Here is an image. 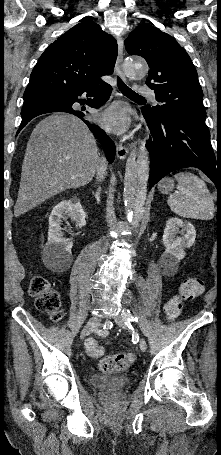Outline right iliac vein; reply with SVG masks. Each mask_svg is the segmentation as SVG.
<instances>
[{
    "instance_id": "right-iliac-vein-1",
    "label": "right iliac vein",
    "mask_w": 221,
    "mask_h": 455,
    "mask_svg": "<svg viewBox=\"0 0 221 455\" xmlns=\"http://www.w3.org/2000/svg\"><path fill=\"white\" fill-rule=\"evenodd\" d=\"M99 326V319L97 316H92L83 330L81 331V338H84L85 336L89 335L91 332H93L97 327Z\"/></svg>"
}]
</instances>
